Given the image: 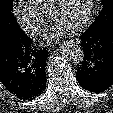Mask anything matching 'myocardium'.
Here are the masks:
<instances>
[{"mask_svg": "<svg viewBox=\"0 0 113 113\" xmlns=\"http://www.w3.org/2000/svg\"><path fill=\"white\" fill-rule=\"evenodd\" d=\"M62 1L63 0H53L52 1L50 9H49V17L51 19H55V15H56L57 10H58L60 4L62 3ZM94 2H95V0L88 1V5H87V9H86L84 17L81 19V21H79L75 25L71 26L70 29H73V30L81 29V28L87 26L91 22L92 17H93Z\"/></svg>", "mask_w": 113, "mask_h": 113, "instance_id": "f54148a6", "label": "myocardium"}]
</instances>
